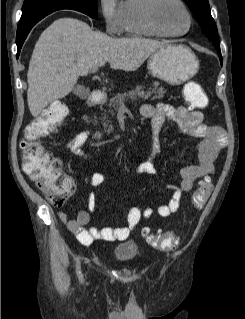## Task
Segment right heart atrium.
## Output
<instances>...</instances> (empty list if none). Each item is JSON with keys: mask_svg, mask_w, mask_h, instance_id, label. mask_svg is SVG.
Returning a JSON list of instances; mask_svg holds the SVG:
<instances>
[{"mask_svg": "<svg viewBox=\"0 0 245 319\" xmlns=\"http://www.w3.org/2000/svg\"><path fill=\"white\" fill-rule=\"evenodd\" d=\"M100 13L108 34L122 32L121 2L119 0H99Z\"/></svg>", "mask_w": 245, "mask_h": 319, "instance_id": "1", "label": "right heart atrium"}]
</instances>
